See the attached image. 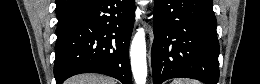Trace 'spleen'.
<instances>
[{"mask_svg": "<svg viewBox=\"0 0 260 84\" xmlns=\"http://www.w3.org/2000/svg\"><path fill=\"white\" fill-rule=\"evenodd\" d=\"M171 84H200V82L192 79H174Z\"/></svg>", "mask_w": 260, "mask_h": 84, "instance_id": "3e777b00", "label": "spleen"}]
</instances>
